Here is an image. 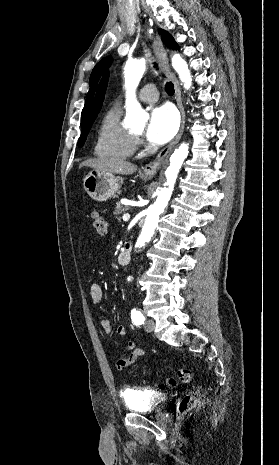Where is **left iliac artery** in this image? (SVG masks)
<instances>
[{
    "label": "left iliac artery",
    "instance_id": "obj_1",
    "mask_svg": "<svg viewBox=\"0 0 279 465\" xmlns=\"http://www.w3.org/2000/svg\"><path fill=\"white\" fill-rule=\"evenodd\" d=\"M131 319L137 326H141L145 321L143 314L139 310H136V309H133L131 311Z\"/></svg>",
    "mask_w": 279,
    "mask_h": 465
}]
</instances>
